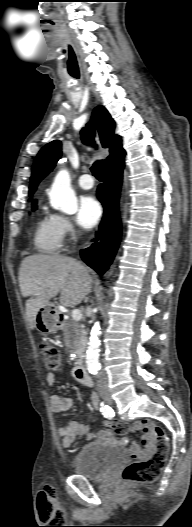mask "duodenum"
<instances>
[{"label":"duodenum","instance_id":"1","mask_svg":"<svg viewBox=\"0 0 192 527\" xmlns=\"http://www.w3.org/2000/svg\"><path fill=\"white\" fill-rule=\"evenodd\" d=\"M74 375L84 385L91 386L93 384L91 377L88 375L84 365L82 364H78L75 367Z\"/></svg>","mask_w":192,"mask_h":527}]
</instances>
